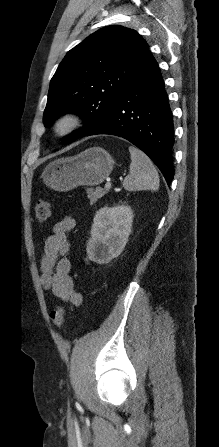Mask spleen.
I'll return each instance as SVG.
<instances>
[{"mask_svg": "<svg viewBox=\"0 0 219 447\" xmlns=\"http://www.w3.org/2000/svg\"><path fill=\"white\" fill-rule=\"evenodd\" d=\"M130 174L125 178L123 186L127 191L153 190L159 188V176L152 161L145 153L130 146Z\"/></svg>", "mask_w": 219, "mask_h": 447, "instance_id": "spleen-1", "label": "spleen"}]
</instances>
